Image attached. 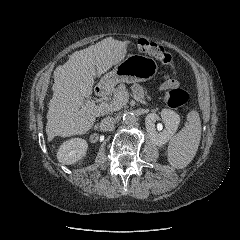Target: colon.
Listing matches in <instances>:
<instances>
[{
    "label": "colon",
    "mask_w": 240,
    "mask_h": 240,
    "mask_svg": "<svg viewBox=\"0 0 240 240\" xmlns=\"http://www.w3.org/2000/svg\"><path fill=\"white\" fill-rule=\"evenodd\" d=\"M136 47L139 51L156 57L161 61V63L169 66L173 71H175L173 56L170 52L166 51L163 46L146 39H139L136 41ZM187 100L188 93L180 88H173L165 96V102L172 108L184 105Z\"/></svg>",
    "instance_id": "colon-1"
}]
</instances>
